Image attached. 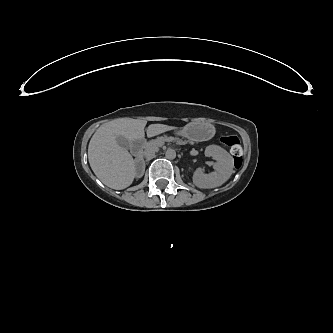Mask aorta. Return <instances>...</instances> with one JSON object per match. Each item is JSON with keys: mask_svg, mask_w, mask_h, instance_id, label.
Instances as JSON below:
<instances>
[{"mask_svg": "<svg viewBox=\"0 0 333 333\" xmlns=\"http://www.w3.org/2000/svg\"><path fill=\"white\" fill-rule=\"evenodd\" d=\"M165 157L167 159L173 160L176 157V152L174 150H172V149H169V150L166 151Z\"/></svg>", "mask_w": 333, "mask_h": 333, "instance_id": "762f6f07", "label": "aorta"}]
</instances>
